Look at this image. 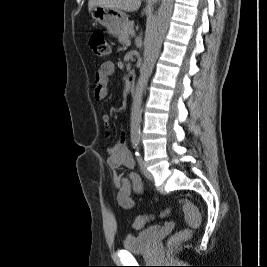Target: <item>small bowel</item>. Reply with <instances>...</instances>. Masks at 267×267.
<instances>
[{
  "instance_id": "c3829d8e",
  "label": "small bowel",
  "mask_w": 267,
  "mask_h": 267,
  "mask_svg": "<svg viewBox=\"0 0 267 267\" xmlns=\"http://www.w3.org/2000/svg\"><path fill=\"white\" fill-rule=\"evenodd\" d=\"M114 72V65L111 62L101 64L95 74V86L93 90L94 99L101 102L107 95L109 78ZM102 123L106 129L110 127V116L102 115ZM107 163L114 172L113 183L118 189L117 201L124 209H131L134 206V200L131 197L132 192L142 193L143 183L140 176L133 171L134 159L128 150L125 142L124 133L118 141L107 148Z\"/></svg>"
}]
</instances>
